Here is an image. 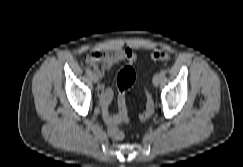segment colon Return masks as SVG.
<instances>
[{"mask_svg":"<svg viewBox=\"0 0 243 167\" xmlns=\"http://www.w3.org/2000/svg\"><path fill=\"white\" fill-rule=\"evenodd\" d=\"M151 58L155 62L167 61L170 54L164 50L154 51ZM136 79L135 70L131 66H125L118 74L117 86L119 91L120 113L118 122L112 123L108 126L110 136L115 140L122 139L123 135L119 129V124L128 122L125 92L134 84ZM155 105L151 93L146 92V105L144 111L140 114L141 121L148 120L154 113Z\"/></svg>","mask_w":243,"mask_h":167,"instance_id":"1","label":"colon"}]
</instances>
